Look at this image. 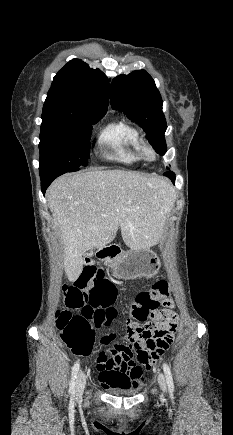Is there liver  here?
<instances>
[{"label": "liver", "instance_id": "1", "mask_svg": "<svg viewBox=\"0 0 233 435\" xmlns=\"http://www.w3.org/2000/svg\"><path fill=\"white\" fill-rule=\"evenodd\" d=\"M53 222L64 244L69 281L83 269L82 255L112 242L118 228L131 249H149L164 236L176 191L165 179L124 170L66 174L48 188Z\"/></svg>", "mask_w": 233, "mask_h": 435}]
</instances>
